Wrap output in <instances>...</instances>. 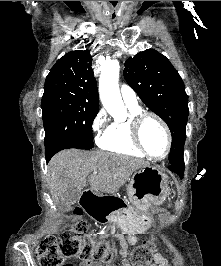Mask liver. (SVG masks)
Listing matches in <instances>:
<instances>
[{
  "label": "liver",
  "instance_id": "6515ba94",
  "mask_svg": "<svg viewBox=\"0 0 221 266\" xmlns=\"http://www.w3.org/2000/svg\"><path fill=\"white\" fill-rule=\"evenodd\" d=\"M149 163L138 158L105 151L64 150L49 163L47 182L54 202L58 203L69 187L82 189L88 177L92 189L116 193L132 173Z\"/></svg>",
  "mask_w": 221,
  "mask_h": 266
}]
</instances>
